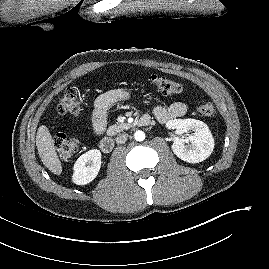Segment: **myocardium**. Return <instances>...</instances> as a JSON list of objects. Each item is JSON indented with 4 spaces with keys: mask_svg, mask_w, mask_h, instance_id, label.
Here are the masks:
<instances>
[{
    "mask_svg": "<svg viewBox=\"0 0 269 269\" xmlns=\"http://www.w3.org/2000/svg\"><path fill=\"white\" fill-rule=\"evenodd\" d=\"M58 8H56V7H54V8H49V9H47L46 11L47 12H51V11H55V10H57Z\"/></svg>",
    "mask_w": 269,
    "mask_h": 269,
    "instance_id": "f54148a6",
    "label": "myocardium"
}]
</instances>
